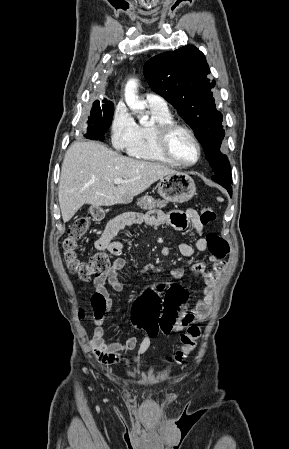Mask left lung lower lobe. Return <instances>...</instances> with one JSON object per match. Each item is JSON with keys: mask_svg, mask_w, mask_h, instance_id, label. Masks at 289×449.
<instances>
[{"mask_svg": "<svg viewBox=\"0 0 289 449\" xmlns=\"http://www.w3.org/2000/svg\"><path fill=\"white\" fill-rule=\"evenodd\" d=\"M222 186L225 187L228 190L230 196H232V186H231V184H225V185H222Z\"/></svg>", "mask_w": 289, "mask_h": 449, "instance_id": "1", "label": "left lung lower lobe"}]
</instances>
